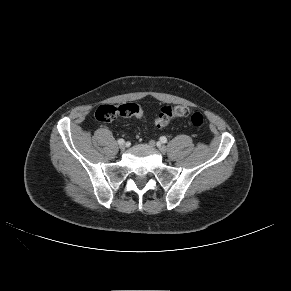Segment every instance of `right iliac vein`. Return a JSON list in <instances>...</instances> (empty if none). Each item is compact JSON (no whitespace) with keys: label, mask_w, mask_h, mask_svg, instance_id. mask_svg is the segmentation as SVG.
<instances>
[{"label":"right iliac vein","mask_w":291,"mask_h":291,"mask_svg":"<svg viewBox=\"0 0 291 291\" xmlns=\"http://www.w3.org/2000/svg\"><path fill=\"white\" fill-rule=\"evenodd\" d=\"M119 147H120V149H121L122 151H124L125 148H126L125 144H121Z\"/></svg>","instance_id":"1"}]
</instances>
